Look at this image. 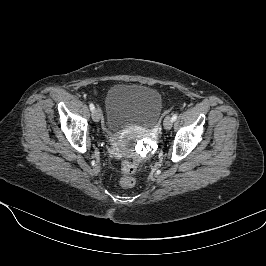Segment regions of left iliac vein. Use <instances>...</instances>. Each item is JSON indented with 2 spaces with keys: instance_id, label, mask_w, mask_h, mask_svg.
I'll list each match as a JSON object with an SVG mask.
<instances>
[{
  "instance_id": "obj_1",
  "label": "left iliac vein",
  "mask_w": 266,
  "mask_h": 266,
  "mask_svg": "<svg viewBox=\"0 0 266 266\" xmlns=\"http://www.w3.org/2000/svg\"><path fill=\"white\" fill-rule=\"evenodd\" d=\"M163 125H164V128H165L166 130L171 129V127H172V125H173V121H172V119H171L170 116H167V117L164 119V123H163Z\"/></svg>"
}]
</instances>
